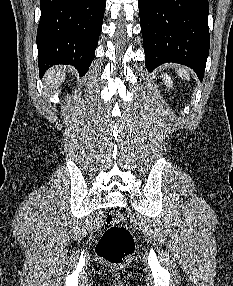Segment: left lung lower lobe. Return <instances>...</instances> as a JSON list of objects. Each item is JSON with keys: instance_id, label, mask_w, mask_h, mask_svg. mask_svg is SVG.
I'll return each instance as SVG.
<instances>
[{"instance_id": "0a47b994", "label": "left lung lower lobe", "mask_w": 233, "mask_h": 286, "mask_svg": "<svg viewBox=\"0 0 233 286\" xmlns=\"http://www.w3.org/2000/svg\"><path fill=\"white\" fill-rule=\"evenodd\" d=\"M138 7L147 69L179 63L202 81L210 47L208 0H138Z\"/></svg>"}]
</instances>
